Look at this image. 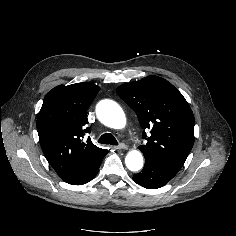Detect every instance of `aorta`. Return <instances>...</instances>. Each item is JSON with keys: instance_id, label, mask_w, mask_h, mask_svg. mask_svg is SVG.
<instances>
[{"instance_id": "aorta-1", "label": "aorta", "mask_w": 236, "mask_h": 236, "mask_svg": "<svg viewBox=\"0 0 236 236\" xmlns=\"http://www.w3.org/2000/svg\"><path fill=\"white\" fill-rule=\"evenodd\" d=\"M97 116L106 126L121 129L126 124V117L122 108L112 100H102L97 105ZM125 163L129 170L138 171L143 166V156L140 151L132 150L125 157Z\"/></svg>"}]
</instances>
